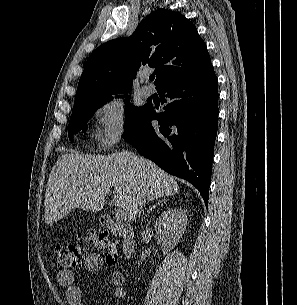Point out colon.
Masks as SVG:
<instances>
[{"instance_id":"5ec220e1","label":"colon","mask_w":297,"mask_h":305,"mask_svg":"<svg viewBox=\"0 0 297 305\" xmlns=\"http://www.w3.org/2000/svg\"><path fill=\"white\" fill-rule=\"evenodd\" d=\"M87 249H97L105 252L107 261L111 264L118 261L117 249L108 235L105 232L92 230L80 235L75 243L57 245L54 250L55 267L60 271L76 267L85 259Z\"/></svg>"}]
</instances>
